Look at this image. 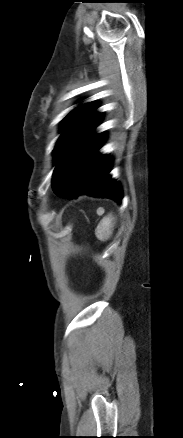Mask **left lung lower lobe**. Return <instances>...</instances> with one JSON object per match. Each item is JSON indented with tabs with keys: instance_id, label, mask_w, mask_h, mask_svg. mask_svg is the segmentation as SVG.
Returning a JSON list of instances; mask_svg holds the SVG:
<instances>
[{
	"instance_id": "obj_1",
	"label": "left lung lower lobe",
	"mask_w": 183,
	"mask_h": 438,
	"mask_svg": "<svg viewBox=\"0 0 183 438\" xmlns=\"http://www.w3.org/2000/svg\"><path fill=\"white\" fill-rule=\"evenodd\" d=\"M105 138L103 133L88 135L60 159L52 179L57 196L73 199L85 194L121 203V186L109 175L112 158L98 153Z\"/></svg>"
}]
</instances>
